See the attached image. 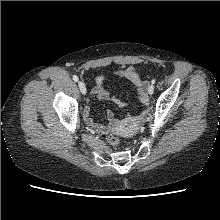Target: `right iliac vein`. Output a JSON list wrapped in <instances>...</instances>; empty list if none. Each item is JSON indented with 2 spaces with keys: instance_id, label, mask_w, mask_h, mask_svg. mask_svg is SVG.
I'll list each match as a JSON object with an SVG mask.
<instances>
[{
  "instance_id": "63e3f726",
  "label": "right iliac vein",
  "mask_w": 220,
  "mask_h": 220,
  "mask_svg": "<svg viewBox=\"0 0 220 220\" xmlns=\"http://www.w3.org/2000/svg\"><path fill=\"white\" fill-rule=\"evenodd\" d=\"M78 86H79V89H80L81 93L83 95H85L86 94V86H85L84 82L79 81Z\"/></svg>"
}]
</instances>
